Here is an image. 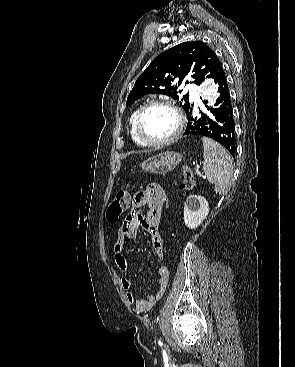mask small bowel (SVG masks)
<instances>
[{"instance_id":"c3829d8e","label":"small bowel","mask_w":295,"mask_h":367,"mask_svg":"<svg viewBox=\"0 0 295 367\" xmlns=\"http://www.w3.org/2000/svg\"><path fill=\"white\" fill-rule=\"evenodd\" d=\"M165 192L163 188L151 183L145 190L135 194L132 206L134 210L126 217L123 225L117 232V238L113 247V254L116 266L123 272L129 268L128 261L124 255L125 240H133L137 236L138 228L142 227L150 236L152 246L156 255L160 260L164 258L163 239L159 230L162 209L164 205L163 196ZM141 207H147L146 215L138 211ZM158 275V291L156 294H148L146 297L139 298L133 292H130V280L123 277L121 279L122 287L127 291L126 297L130 304L135 306L138 313L149 312L160 300L168 286L169 271L166 266L161 265L157 269Z\"/></svg>"}]
</instances>
